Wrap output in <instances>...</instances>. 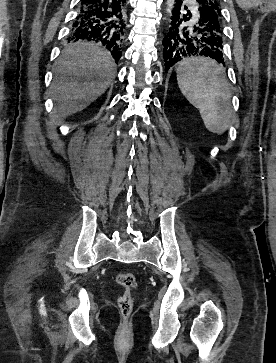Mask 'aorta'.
<instances>
[{"label": "aorta", "instance_id": "1", "mask_svg": "<svg viewBox=\"0 0 276 363\" xmlns=\"http://www.w3.org/2000/svg\"><path fill=\"white\" fill-rule=\"evenodd\" d=\"M173 7H174V0H167V9H166V11H167L168 14H171V11H172Z\"/></svg>", "mask_w": 276, "mask_h": 363}]
</instances>
